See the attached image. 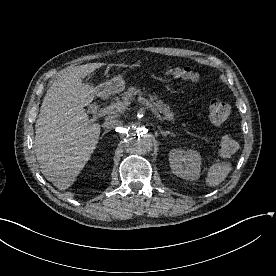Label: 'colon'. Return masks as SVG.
<instances>
[{
  "label": "colon",
  "mask_w": 276,
  "mask_h": 276,
  "mask_svg": "<svg viewBox=\"0 0 276 276\" xmlns=\"http://www.w3.org/2000/svg\"><path fill=\"white\" fill-rule=\"evenodd\" d=\"M167 74L175 79L194 82L199 75L191 67H173L168 69ZM230 115V106L221 100H214L211 102L208 110L209 120L215 124L220 125L224 123ZM239 149L238 142L230 135H224L219 141V153L222 157H232Z\"/></svg>",
  "instance_id": "1"
}]
</instances>
